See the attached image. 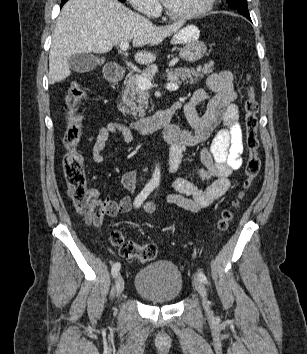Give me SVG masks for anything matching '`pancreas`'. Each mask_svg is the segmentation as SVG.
Segmentation results:
<instances>
[{
	"instance_id": "obj_1",
	"label": "pancreas",
	"mask_w": 307,
	"mask_h": 354,
	"mask_svg": "<svg viewBox=\"0 0 307 354\" xmlns=\"http://www.w3.org/2000/svg\"><path fill=\"white\" fill-rule=\"evenodd\" d=\"M157 67L155 65L149 66L140 75L128 76L125 80V90L122 95V103L119 105V110L125 115H131L133 118H141L145 115V109L148 108L149 93L140 89L136 84V78L138 76L152 79L155 76ZM213 71L210 64H206L203 67L198 66L196 68H177L166 70L168 79L176 84L181 83H197L204 77Z\"/></svg>"
}]
</instances>
